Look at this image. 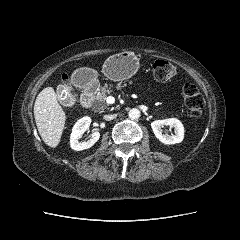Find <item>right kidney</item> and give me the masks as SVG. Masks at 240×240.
I'll return each mask as SVG.
<instances>
[{
  "instance_id": "obj_1",
  "label": "right kidney",
  "mask_w": 240,
  "mask_h": 240,
  "mask_svg": "<svg viewBox=\"0 0 240 240\" xmlns=\"http://www.w3.org/2000/svg\"><path fill=\"white\" fill-rule=\"evenodd\" d=\"M91 124V118L85 116L79 119L73 126L70 136V146L73 150L81 151L92 147L100 138V133L95 131L91 134V138L88 141L79 142V138L89 128Z\"/></svg>"
}]
</instances>
